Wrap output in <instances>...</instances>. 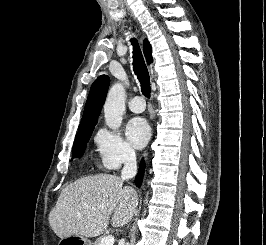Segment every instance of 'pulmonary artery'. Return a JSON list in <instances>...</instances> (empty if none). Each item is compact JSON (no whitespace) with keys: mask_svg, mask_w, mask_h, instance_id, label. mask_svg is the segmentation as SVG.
<instances>
[{"mask_svg":"<svg viewBox=\"0 0 266 245\" xmlns=\"http://www.w3.org/2000/svg\"><path fill=\"white\" fill-rule=\"evenodd\" d=\"M128 108L134 113H141L145 110L146 105L140 96H136L128 102Z\"/></svg>","mask_w":266,"mask_h":245,"instance_id":"1","label":"pulmonary artery"}]
</instances>
